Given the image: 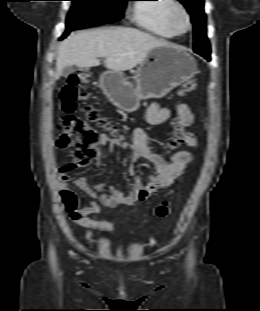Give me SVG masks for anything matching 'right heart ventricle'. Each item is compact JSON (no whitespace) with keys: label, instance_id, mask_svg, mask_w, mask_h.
I'll list each match as a JSON object with an SVG mask.
<instances>
[{"label":"right heart ventricle","instance_id":"1","mask_svg":"<svg viewBox=\"0 0 260 311\" xmlns=\"http://www.w3.org/2000/svg\"><path fill=\"white\" fill-rule=\"evenodd\" d=\"M155 3L134 5L133 19L138 26L161 38H173L175 34L168 25L167 14L175 0H140Z\"/></svg>","mask_w":260,"mask_h":311}]
</instances>
